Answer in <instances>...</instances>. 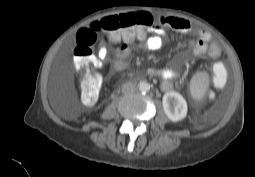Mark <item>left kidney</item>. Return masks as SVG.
Here are the masks:
<instances>
[{
	"label": "left kidney",
	"mask_w": 255,
	"mask_h": 177,
	"mask_svg": "<svg viewBox=\"0 0 255 177\" xmlns=\"http://www.w3.org/2000/svg\"><path fill=\"white\" fill-rule=\"evenodd\" d=\"M163 109L166 116L173 122L183 120L187 115V103L183 96L175 91L164 94Z\"/></svg>",
	"instance_id": "1"
}]
</instances>
